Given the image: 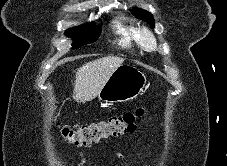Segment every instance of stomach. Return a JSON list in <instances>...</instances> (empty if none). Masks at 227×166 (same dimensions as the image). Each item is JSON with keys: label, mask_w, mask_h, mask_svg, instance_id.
Segmentation results:
<instances>
[{"label": "stomach", "mask_w": 227, "mask_h": 166, "mask_svg": "<svg viewBox=\"0 0 227 166\" xmlns=\"http://www.w3.org/2000/svg\"><path fill=\"white\" fill-rule=\"evenodd\" d=\"M147 85L145 74L130 64L119 66L98 94L105 103L127 102L140 96Z\"/></svg>", "instance_id": "0dacf381"}]
</instances>
